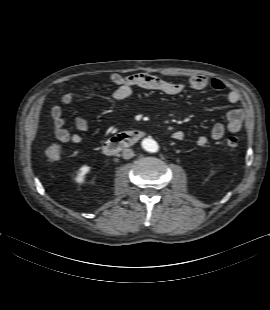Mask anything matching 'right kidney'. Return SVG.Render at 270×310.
<instances>
[{"label": "right kidney", "instance_id": "obj_1", "mask_svg": "<svg viewBox=\"0 0 270 310\" xmlns=\"http://www.w3.org/2000/svg\"><path fill=\"white\" fill-rule=\"evenodd\" d=\"M90 169L91 168L87 165L82 166L77 172V176L75 177V181L77 183H83L85 176H86V174H88L90 172Z\"/></svg>", "mask_w": 270, "mask_h": 310}]
</instances>
